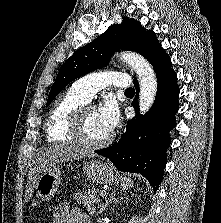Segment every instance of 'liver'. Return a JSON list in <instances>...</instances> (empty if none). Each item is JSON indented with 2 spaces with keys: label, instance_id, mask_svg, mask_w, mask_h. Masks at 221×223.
I'll use <instances>...</instances> for the list:
<instances>
[{
  "label": "liver",
  "instance_id": "6515ba94",
  "mask_svg": "<svg viewBox=\"0 0 221 223\" xmlns=\"http://www.w3.org/2000/svg\"><path fill=\"white\" fill-rule=\"evenodd\" d=\"M92 155L93 154L87 149L66 144H54L41 150L36 155L33 169L28 176L26 200L28 201L30 199L33 188L42 172L55 167V165L60 162L77 160Z\"/></svg>",
  "mask_w": 221,
  "mask_h": 223
}]
</instances>
